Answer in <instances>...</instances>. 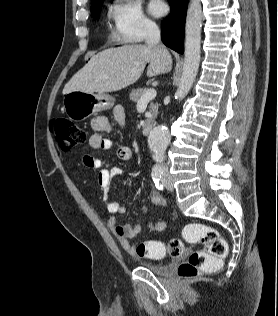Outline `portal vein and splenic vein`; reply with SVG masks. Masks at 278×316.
Here are the masks:
<instances>
[{"instance_id":"1","label":"portal vein and splenic vein","mask_w":278,"mask_h":316,"mask_svg":"<svg viewBox=\"0 0 278 316\" xmlns=\"http://www.w3.org/2000/svg\"><path fill=\"white\" fill-rule=\"evenodd\" d=\"M157 91L155 88L148 89L144 95L140 98V100L137 102V104H141L144 102H149L150 100L154 99L156 97Z\"/></svg>"}]
</instances>
